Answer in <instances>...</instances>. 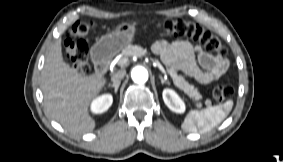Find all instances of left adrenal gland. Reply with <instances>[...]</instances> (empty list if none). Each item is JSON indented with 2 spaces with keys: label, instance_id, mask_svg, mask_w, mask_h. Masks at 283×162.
<instances>
[{
  "label": "left adrenal gland",
  "instance_id": "a2214340",
  "mask_svg": "<svg viewBox=\"0 0 283 162\" xmlns=\"http://www.w3.org/2000/svg\"><path fill=\"white\" fill-rule=\"evenodd\" d=\"M162 84H170L168 80L164 79L161 75H159Z\"/></svg>",
  "mask_w": 283,
  "mask_h": 162
}]
</instances>
